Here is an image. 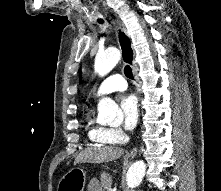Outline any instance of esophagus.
<instances>
[{
    "label": "esophagus",
    "mask_w": 221,
    "mask_h": 191,
    "mask_svg": "<svg viewBox=\"0 0 221 191\" xmlns=\"http://www.w3.org/2000/svg\"><path fill=\"white\" fill-rule=\"evenodd\" d=\"M112 23L114 24L115 29H116V34H117V38H118V41H119V44L121 47L123 60L127 63H131L133 75H134L135 79L138 80L137 66H136V63L134 60L135 52L132 47L131 39H130L125 27L123 26V24L119 20L113 19ZM137 152H138V148L134 147L130 151L128 156L133 158L137 155Z\"/></svg>",
    "instance_id": "esophagus-1"
}]
</instances>
